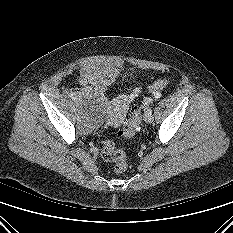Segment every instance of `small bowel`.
Masks as SVG:
<instances>
[{"label": "small bowel", "instance_id": "small-bowel-1", "mask_svg": "<svg viewBox=\"0 0 233 233\" xmlns=\"http://www.w3.org/2000/svg\"><path fill=\"white\" fill-rule=\"evenodd\" d=\"M100 91L103 92V88H100ZM134 99V95H125L120 97L116 103L114 104V112L116 113V117L121 119L123 113L130 102Z\"/></svg>", "mask_w": 233, "mask_h": 233}]
</instances>
